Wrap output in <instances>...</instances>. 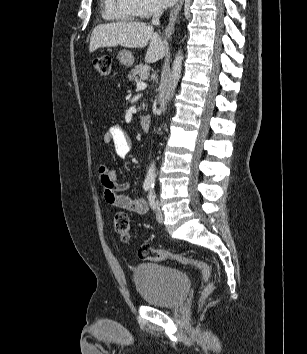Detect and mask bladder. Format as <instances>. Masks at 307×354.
I'll return each mask as SVG.
<instances>
[{
	"instance_id": "obj_1",
	"label": "bladder",
	"mask_w": 307,
	"mask_h": 354,
	"mask_svg": "<svg viewBox=\"0 0 307 354\" xmlns=\"http://www.w3.org/2000/svg\"><path fill=\"white\" fill-rule=\"evenodd\" d=\"M133 281L143 300L159 307L180 304L190 285L182 270L154 262L138 264L133 269Z\"/></svg>"
}]
</instances>
